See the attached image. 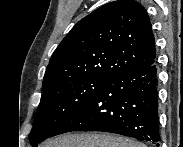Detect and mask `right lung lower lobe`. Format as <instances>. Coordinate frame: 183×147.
<instances>
[{
	"label": "right lung lower lobe",
	"instance_id": "right-lung-lower-lobe-1",
	"mask_svg": "<svg viewBox=\"0 0 183 147\" xmlns=\"http://www.w3.org/2000/svg\"><path fill=\"white\" fill-rule=\"evenodd\" d=\"M72 131L110 132L159 142L156 62L110 79L53 136Z\"/></svg>",
	"mask_w": 183,
	"mask_h": 147
}]
</instances>
